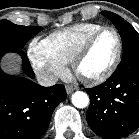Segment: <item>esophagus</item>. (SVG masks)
Segmentation results:
<instances>
[{"mask_svg":"<svg viewBox=\"0 0 139 139\" xmlns=\"http://www.w3.org/2000/svg\"><path fill=\"white\" fill-rule=\"evenodd\" d=\"M74 90H75V88L72 85H67L66 86L67 94H71Z\"/></svg>","mask_w":139,"mask_h":139,"instance_id":"obj_1","label":"esophagus"}]
</instances>
